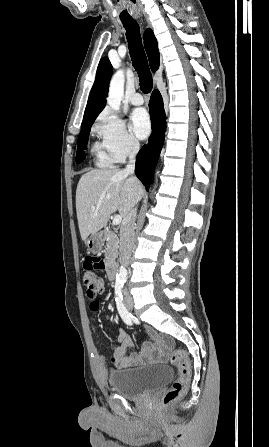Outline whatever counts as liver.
Listing matches in <instances>:
<instances>
[{
    "instance_id": "1",
    "label": "liver",
    "mask_w": 269,
    "mask_h": 447,
    "mask_svg": "<svg viewBox=\"0 0 269 447\" xmlns=\"http://www.w3.org/2000/svg\"><path fill=\"white\" fill-rule=\"evenodd\" d=\"M142 196L141 182L127 178L120 170H91L84 174L76 190L77 220L83 241L102 229L117 210L126 218Z\"/></svg>"
}]
</instances>
